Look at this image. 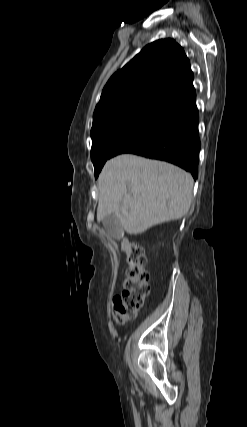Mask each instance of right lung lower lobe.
<instances>
[{
	"mask_svg": "<svg viewBox=\"0 0 247 427\" xmlns=\"http://www.w3.org/2000/svg\"><path fill=\"white\" fill-rule=\"evenodd\" d=\"M196 92L190 87L159 105L113 151L164 160L198 177L200 139ZM110 157V158H111Z\"/></svg>",
	"mask_w": 247,
	"mask_h": 427,
	"instance_id": "1",
	"label": "right lung lower lobe"
}]
</instances>
